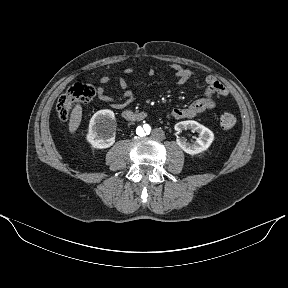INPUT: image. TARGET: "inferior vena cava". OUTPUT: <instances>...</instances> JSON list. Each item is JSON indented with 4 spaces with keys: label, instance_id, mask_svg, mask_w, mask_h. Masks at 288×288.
Here are the masks:
<instances>
[{
    "label": "inferior vena cava",
    "instance_id": "inferior-vena-cava-1",
    "mask_svg": "<svg viewBox=\"0 0 288 288\" xmlns=\"http://www.w3.org/2000/svg\"><path fill=\"white\" fill-rule=\"evenodd\" d=\"M151 139L154 142H162L165 139V132L162 129H154L151 132Z\"/></svg>",
    "mask_w": 288,
    "mask_h": 288
}]
</instances>
